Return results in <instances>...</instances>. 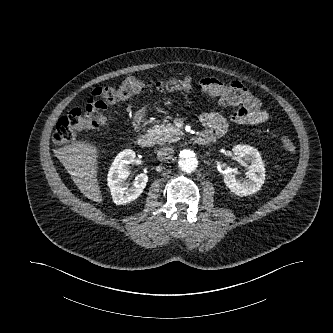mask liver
<instances>
[{"label": "liver", "instance_id": "obj_1", "mask_svg": "<svg viewBox=\"0 0 333 333\" xmlns=\"http://www.w3.org/2000/svg\"><path fill=\"white\" fill-rule=\"evenodd\" d=\"M59 160L71 175L79 190L90 200L102 202L97 180L98 152L94 144L74 142L59 149Z\"/></svg>", "mask_w": 333, "mask_h": 333}]
</instances>
